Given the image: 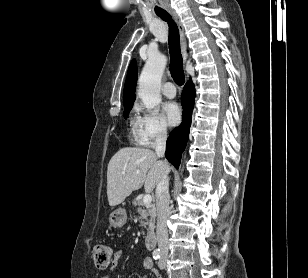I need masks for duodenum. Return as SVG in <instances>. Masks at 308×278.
I'll use <instances>...</instances> for the list:
<instances>
[{"mask_svg": "<svg viewBox=\"0 0 308 278\" xmlns=\"http://www.w3.org/2000/svg\"><path fill=\"white\" fill-rule=\"evenodd\" d=\"M146 246L149 249H153L157 243V234L155 232H151L146 236L145 239Z\"/></svg>", "mask_w": 308, "mask_h": 278, "instance_id": "duodenum-1", "label": "duodenum"}]
</instances>
